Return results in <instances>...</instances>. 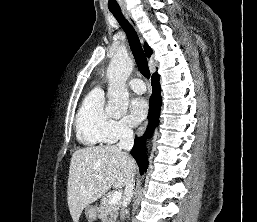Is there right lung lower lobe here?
<instances>
[{
  "instance_id": "1",
  "label": "right lung lower lobe",
  "mask_w": 257,
  "mask_h": 222,
  "mask_svg": "<svg viewBox=\"0 0 257 222\" xmlns=\"http://www.w3.org/2000/svg\"><path fill=\"white\" fill-rule=\"evenodd\" d=\"M151 85H152L153 92L149 101V106H150L149 116H148L149 124L145 134L142 137L135 139L134 147L131 150V155L135 158L141 174H143V172L147 170V165H148L147 156L144 154L146 150L145 142H146V139L151 136L155 127L158 125L160 107L162 104L161 95H160L161 89L159 86V75L157 73H154L152 75Z\"/></svg>"
}]
</instances>
